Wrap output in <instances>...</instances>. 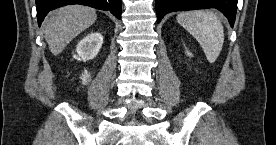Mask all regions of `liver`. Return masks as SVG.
Wrapping results in <instances>:
<instances>
[{
  "instance_id": "liver-1",
  "label": "liver",
  "mask_w": 276,
  "mask_h": 145,
  "mask_svg": "<svg viewBox=\"0 0 276 145\" xmlns=\"http://www.w3.org/2000/svg\"><path fill=\"white\" fill-rule=\"evenodd\" d=\"M97 19L96 10L79 4L67 5L50 12L45 21L44 33L53 55L63 49L81 32L89 28Z\"/></svg>"
}]
</instances>
